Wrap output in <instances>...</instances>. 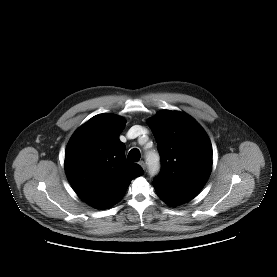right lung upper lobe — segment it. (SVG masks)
<instances>
[{
    "label": "right lung upper lobe",
    "mask_w": 277,
    "mask_h": 277,
    "mask_svg": "<svg viewBox=\"0 0 277 277\" xmlns=\"http://www.w3.org/2000/svg\"><path fill=\"white\" fill-rule=\"evenodd\" d=\"M124 126L120 117L100 114L79 127L67 145V178L77 195L93 207L115 205L131 180L144 173L126 160V146L119 140Z\"/></svg>",
    "instance_id": "1"
}]
</instances>
